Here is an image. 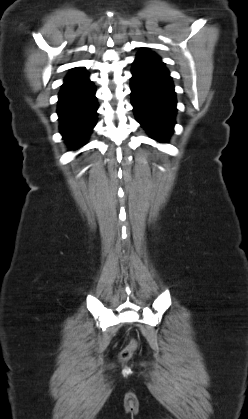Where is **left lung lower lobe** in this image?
<instances>
[{"label":"left lung lower lobe","mask_w":248,"mask_h":419,"mask_svg":"<svg viewBox=\"0 0 248 419\" xmlns=\"http://www.w3.org/2000/svg\"><path fill=\"white\" fill-rule=\"evenodd\" d=\"M132 74L131 101L136 120L153 139L167 141L177 111L169 71L157 55L144 49L136 56Z\"/></svg>","instance_id":"1"}]
</instances>
